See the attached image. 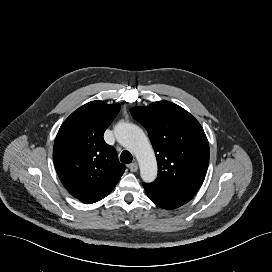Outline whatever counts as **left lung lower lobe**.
<instances>
[{
  "label": "left lung lower lobe",
  "mask_w": 272,
  "mask_h": 272,
  "mask_svg": "<svg viewBox=\"0 0 272 272\" xmlns=\"http://www.w3.org/2000/svg\"><path fill=\"white\" fill-rule=\"evenodd\" d=\"M147 196L159 207L164 209L178 208L189 202L195 193L186 189L153 183H143Z\"/></svg>",
  "instance_id": "0a47b994"
}]
</instances>
